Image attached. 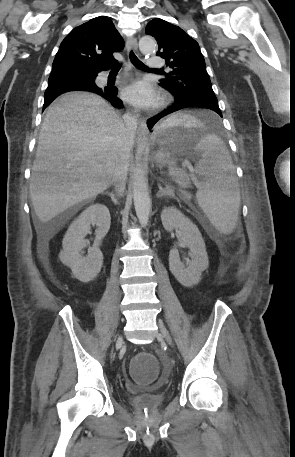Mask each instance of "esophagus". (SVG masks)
<instances>
[{
    "label": "esophagus",
    "mask_w": 295,
    "mask_h": 457,
    "mask_svg": "<svg viewBox=\"0 0 295 457\" xmlns=\"http://www.w3.org/2000/svg\"><path fill=\"white\" fill-rule=\"evenodd\" d=\"M126 49L129 53L130 51L137 50V39L135 37L128 38L126 42ZM149 129L147 128L146 121L141 120L139 122L138 130H137V141L139 144L145 145L148 139Z\"/></svg>",
    "instance_id": "esophagus-1"
}]
</instances>
